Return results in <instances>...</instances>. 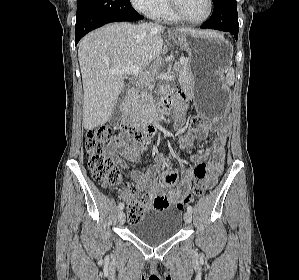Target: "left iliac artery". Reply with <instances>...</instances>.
<instances>
[{
    "instance_id": "1",
    "label": "left iliac artery",
    "mask_w": 299,
    "mask_h": 280,
    "mask_svg": "<svg viewBox=\"0 0 299 280\" xmlns=\"http://www.w3.org/2000/svg\"><path fill=\"white\" fill-rule=\"evenodd\" d=\"M187 211L192 212V211H193L192 206H188V207H187Z\"/></svg>"
}]
</instances>
